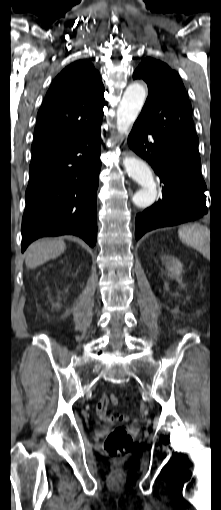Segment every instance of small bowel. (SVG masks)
Returning a JSON list of instances; mask_svg holds the SVG:
<instances>
[{"mask_svg": "<svg viewBox=\"0 0 221 510\" xmlns=\"http://www.w3.org/2000/svg\"><path fill=\"white\" fill-rule=\"evenodd\" d=\"M113 395H103L101 397V399L96 403V413L97 415L104 421L106 422H112L113 420L111 419V416L109 413H108V405L110 403V398L112 397Z\"/></svg>", "mask_w": 221, "mask_h": 510, "instance_id": "small-bowel-1", "label": "small bowel"}]
</instances>
